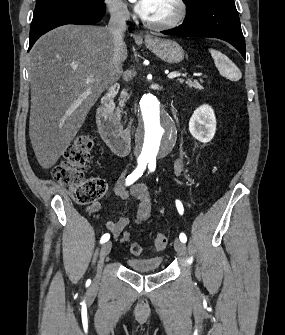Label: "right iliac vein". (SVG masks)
Returning <instances> with one entry per match:
<instances>
[{
  "mask_svg": "<svg viewBox=\"0 0 285 335\" xmlns=\"http://www.w3.org/2000/svg\"><path fill=\"white\" fill-rule=\"evenodd\" d=\"M111 251V242H106L102 245L100 253H99V261H98V273L95 279V283L97 284L100 281L101 270L103 266L104 258L110 253Z\"/></svg>",
  "mask_w": 285,
  "mask_h": 335,
  "instance_id": "obj_1",
  "label": "right iliac vein"
}]
</instances>
